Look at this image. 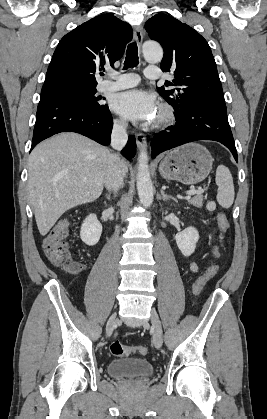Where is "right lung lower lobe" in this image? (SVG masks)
<instances>
[{"mask_svg":"<svg viewBox=\"0 0 267 419\" xmlns=\"http://www.w3.org/2000/svg\"><path fill=\"white\" fill-rule=\"evenodd\" d=\"M112 126L113 119L107 105L91 109L62 95L41 93L31 149L42 140L66 131L80 133L102 145H108ZM121 153L127 159L135 156L136 141L133 135L129 136Z\"/></svg>","mask_w":267,"mask_h":419,"instance_id":"obj_1","label":"right lung lower lobe"}]
</instances>
